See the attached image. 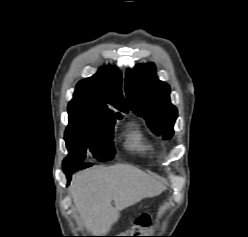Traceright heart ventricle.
<instances>
[{"label": "right heart ventricle", "mask_w": 248, "mask_h": 237, "mask_svg": "<svg viewBox=\"0 0 248 237\" xmlns=\"http://www.w3.org/2000/svg\"><path fill=\"white\" fill-rule=\"evenodd\" d=\"M124 146L139 155L149 154L153 150L151 142L137 125L131 126L125 133Z\"/></svg>", "instance_id": "1"}]
</instances>
